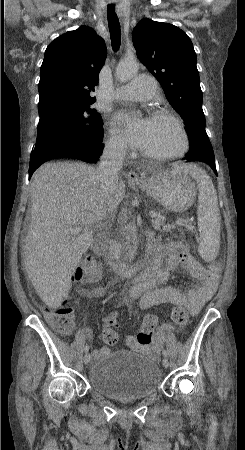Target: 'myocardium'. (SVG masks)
<instances>
[{
    "label": "myocardium",
    "mask_w": 245,
    "mask_h": 450,
    "mask_svg": "<svg viewBox=\"0 0 245 450\" xmlns=\"http://www.w3.org/2000/svg\"><path fill=\"white\" fill-rule=\"evenodd\" d=\"M151 119L154 120H167L174 124L176 128L179 130L181 137H182V146L181 148L173 153H165V154H159V153H151L146 152L144 150L141 151V153L149 158L155 159L157 161H170L177 158H180L184 156L190 149V139L188 132L182 123V121L173 113H171L168 110H160L156 111L152 114Z\"/></svg>",
    "instance_id": "f54148a6"
}]
</instances>
